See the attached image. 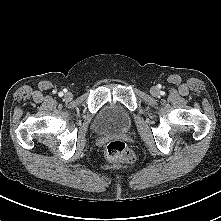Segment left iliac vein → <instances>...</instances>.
Masks as SVG:
<instances>
[{
	"instance_id": "1",
	"label": "left iliac vein",
	"mask_w": 221,
	"mask_h": 221,
	"mask_svg": "<svg viewBox=\"0 0 221 221\" xmlns=\"http://www.w3.org/2000/svg\"><path fill=\"white\" fill-rule=\"evenodd\" d=\"M150 93H151L152 96L156 97V96H158L159 91H158V89L156 87H152L150 89Z\"/></svg>"
}]
</instances>
